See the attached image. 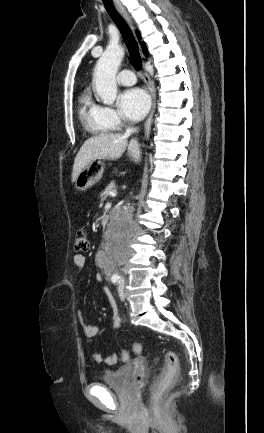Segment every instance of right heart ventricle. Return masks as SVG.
Wrapping results in <instances>:
<instances>
[{"instance_id":"right-heart-ventricle-1","label":"right heart ventricle","mask_w":264,"mask_h":433,"mask_svg":"<svg viewBox=\"0 0 264 433\" xmlns=\"http://www.w3.org/2000/svg\"><path fill=\"white\" fill-rule=\"evenodd\" d=\"M79 116L84 128L92 135L105 134L112 129L103 119L100 106L88 94L80 98Z\"/></svg>"}]
</instances>
